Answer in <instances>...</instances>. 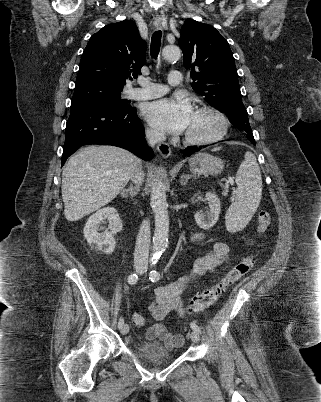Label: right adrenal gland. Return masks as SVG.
Masks as SVG:
<instances>
[{
  "mask_svg": "<svg viewBox=\"0 0 321 402\" xmlns=\"http://www.w3.org/2000/svg\"><path fill=\"white\" fill-rule=\"evenodd\" d=\"M139 192V186H135L133 187L132 185L128 188H125L121 191V195L123 197H127L128 195H130L131 197H134L138 194Z\"/></svg>",
  "mask_w": 321,
  "mask_h": 402,
  "instance_id": "right-adrenal-gland-1",
  "label": "right adrenal gland"
}]
</instances>
